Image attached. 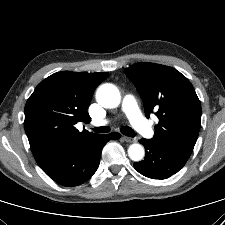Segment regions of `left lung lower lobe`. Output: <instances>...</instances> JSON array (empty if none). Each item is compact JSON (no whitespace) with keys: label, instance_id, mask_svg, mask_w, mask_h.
Returning <instances> with one entry per match:
<instances>
[{"label":"left lung lower lobe","instance_id":"0a47b994","mask_svg":"<svg viewBox=\"0 0 225 225\" xmlns=\"http://www.w3.org/2000/svg\"><path fill=\"white\" fill-rule=\"evenodd\" d=\"M146 150L145 159L134 163V168L140 174L152 179H166L177 173L189 159L174 149L152 140L139 141Z\"/></svg>","mask_w":225,"mask_h":225}]
</instances>
